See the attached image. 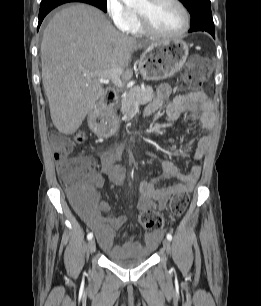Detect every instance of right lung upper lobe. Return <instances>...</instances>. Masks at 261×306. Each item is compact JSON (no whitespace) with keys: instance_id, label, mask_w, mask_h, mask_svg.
I'll return each mask as SVG.
<instances>
[{"instance_id":"right-lung-upper-lobe-1","label":"right lung upper lobe","mask_w":261,"mask_h":306,"mask_svg":"<svg viewBox=\"0 0 261 306\" xmlns=\"http://www.w3.org/2000/svg\"><path fill=\"white\" fill-rule=\"evenodd\" d=\"M64 2L61 3H67V2H84V0H62ZM85 3V2H84Z\"/></svg>"}]
</instances>
